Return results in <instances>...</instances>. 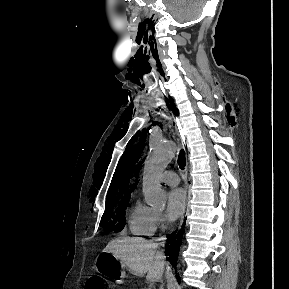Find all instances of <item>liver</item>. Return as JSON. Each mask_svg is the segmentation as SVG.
Wrapping results in <instances>:
<instances>
[{"label":"liver","instance_id":"1","mask_svg":"<svg viewBox=\"0 0 289 289\" xmlns=\"http://www.w3.org/2000/svg\"><path fill=\"white\" fill-rule=\"evenodd\" d=\"M103 252L113 253L122 266H127L137 276L147 274V279L156 282L162 278L164 260L156 251V246L141 238H118L112 240Z\"/></svg>","mask_w":289,"mask_h":289}]
</instances>
